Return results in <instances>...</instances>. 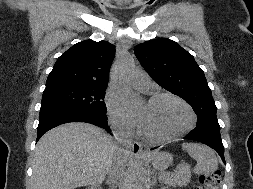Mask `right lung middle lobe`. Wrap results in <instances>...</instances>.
I'll list each match as a JSON object with an SVG mask.
<instances>
[{
  "instance_id": "1",
  "label": "right lung middle lobe",
  "mask_w": 253,
  "mask_h": 189,
  "mask_svg": "<svg viewBox=\"0 0 253 189\" xmlns=\"http://www.w3.org/2000/svg\"><path fill=\"white\" fill-rule=\"evenodd\" d=\"M106 88L98 86L47 88L43 92L41 110L61 108L105 115L106 105L103 100Z\"/></svg>"
}]
</instances>
